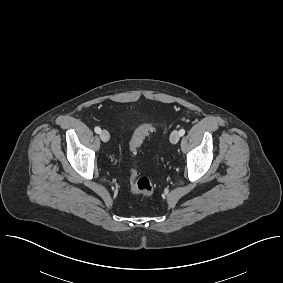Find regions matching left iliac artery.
<instances>
[{
    "mask_svg": "<svg viewBox=\"0 0 283 283\" xmlns=\"http://www.w3.org/2000/svg\"><path fill=\"white\" fill-rule=\"evenodd\" d=\"M179 134H180V136H183L185 134V130L184 129H180Z\"/></svg>",
    "mask_w": 283,
    "mask_h": 283,
    "instance_id": "left-iliac-artery-1",
    "label": "left iliac artery"
}]
</instances>
